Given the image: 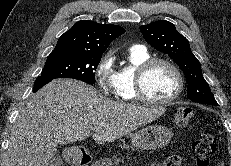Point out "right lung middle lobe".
Returning <instances> with one entry per match:
<instances>
[{
    "mask_svg": "<svg viewBox=\"0 0 231 166\" xmlns=\"http://www.w3.org/2000/svg\"><path fill=\"white\" fill-rule=\"evenodd\" d=\"M101 55L81 53L67 49L54 50L41 72L43 77L73 78L89 84L95 83V70Z\"/></svg>",
    "mask_w": 231,
    "mask_h": 166,
    "instance_id": "dd1d6c3e",
    "label": "right lung middle lobe"
}]
</instances>
